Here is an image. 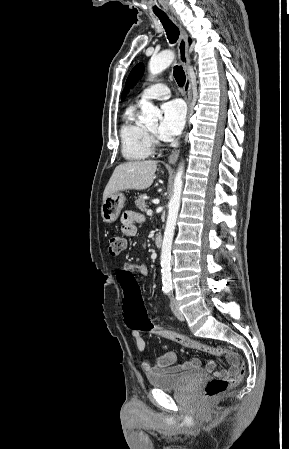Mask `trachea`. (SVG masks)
I'll return each instance as SVG.
<instances>
[{
    "label": "trachea",
    "instance_id": "1",
    "mask_svg": "<svg viewBox=\"0 0 289 449\" xmlns=\"http://www.w3.org/2000/svg\"><path fill=\"white\" fill-rule=\"evenodd\" d=\"M156 16L160 19L165 31L167 38L170 43H175L178 40L180 31L178 27L168 18L165 13H155ZM174 78L177 84L182 87L185 84L186 76L182 66H174L173 71Z\"/></svg>",
    "mask_w": 289,
    "mask_h": 449
}]
</instances>
